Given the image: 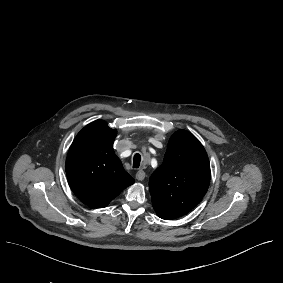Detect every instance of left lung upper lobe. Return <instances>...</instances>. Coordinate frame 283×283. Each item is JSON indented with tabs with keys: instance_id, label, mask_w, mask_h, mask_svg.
<instances>
[{
	"instance_id": "1",
	"label": "left lung upper lobe",
	"mask_w": 283,
	"mask_h": 283,
	"mask_svg": "<svg viewBox=\"0 0 283 283\" xmlns=\"http://www.w3.org/2000/svg\"><path fill=\"white\" fill-rule=\"evenodd\" d=\"M209 183L210 164L204 147L190 132L176 131L163 163L149 180L154 210L185 215L202 200Z\"/></svg>"
}]
</instances>
